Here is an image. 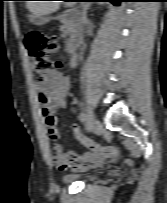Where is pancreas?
<instances>
[{"label": "pancreas", "instance_id": "pancreas-1", "mask_svg": "<svg viewBox=\"0 0 167 203\" xmlns=\"http://www.w3.org/2000/svg\"><path fill=\"white\" fill-rule=\"evenodd\" d=\"M63 34L62 37L65 38L69 33L72 31V26L69 25V23L64 22L63 27L61 28Z\"/></svg>", "mask_w": 167, "mask_h": 203}]
</instances>
